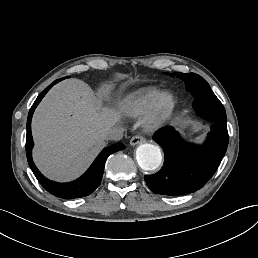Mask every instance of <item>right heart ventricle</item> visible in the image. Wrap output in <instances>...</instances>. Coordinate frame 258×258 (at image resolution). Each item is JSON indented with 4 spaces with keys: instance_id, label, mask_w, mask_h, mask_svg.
<instances>
[{
    "instance_id": "1",
    "label": "right heart ventricle",
    "mask_w": 258,
    "mask_h": 258,
    "mask_svg": "<svg viewBox=\"0 0 258 258\" xmlns=\"http://www.w3.org/2000/svg\"><path fill=\"white\" fill-rule=\"evenodd\" d=\"M160 94L157 87H148L126 97L122 102L123 110L131 117H139L149 112Z\"/></svg>"
}]
</instances>
